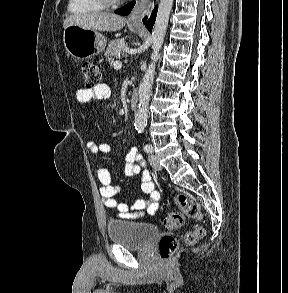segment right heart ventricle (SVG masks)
Masks as SVG:
<instances>
[{
  "label": "right heart ventricle",
  "mask_w": 288,
  "mask_h": 293,
  "mask_svg": "<svg viewBox=\"0 0 288 293\" xmlns=\"http://www.w3.org/2000/svg\"><path fill=\"white\" fill-rule=\"evenodd\" d=\"M101 0H69L68 10L73 14H85L102 11L106 8Z\"/></svg>",
  "instance_id": "e07e8e85"
}]
</instances>
